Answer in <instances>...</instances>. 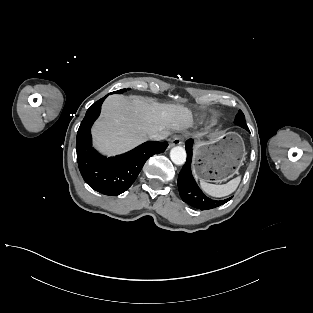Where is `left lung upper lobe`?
I'll return each mask as SVG.
<instances>
[{
  "label": "left lung upper lobe",
  "mask_w": 313,
  "mask_h": 313,
  "mask_svg": "<svg viewBox=\"0 0 313 313\" xmlns=\"http://www.w3.org/2000/svg\"><path fill=\"white\" fill-rule=\"evenodd\" d=\"M235 124L246 130H249L245 121V116L241 110H239V112L237 113L235 117Z\"/></svg>",
  "instance_id": "1"
}]
</instances>
